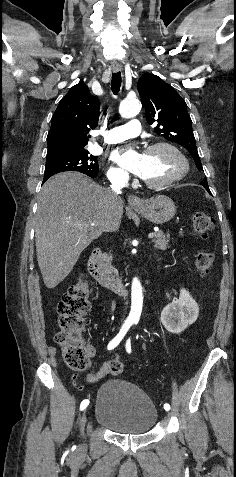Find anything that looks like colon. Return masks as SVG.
<instances>
[{
	"label": "colon",
	"mask_w": 236,
	"mask_h": 477,
	"mask_svg": "<svg viewBox=\"0 0 236 477\" xmlns=\"http://www.w3.org/2000/svg\"><path fill=\"white\" fill-rule=\"evenodd\" d=\"M193 227L197 235L205 237L213 229L214 222L208 214L195 212ZM213 262V253L200 252L195 262L200 275H207ZM89 296V284L81 277L68 288L57 305L59 331L55 341L62 349L64 363L71 370L79 372L86 370L89 365L87 347L82 338L91 308ZM108 367L110 374L116 376L122 373L124 363L115 358L108 362Z\"/></svg>",
	"instance_id": "5ec220e1"
}]
</instances>
